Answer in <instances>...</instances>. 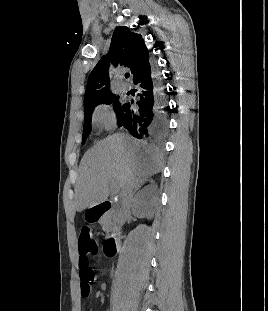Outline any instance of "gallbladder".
<instances>
[{
    "label": "gallbladder",
    "mask_w": 268,
    "mask_h": 311,
    "mask_svg": "<svg viewBox=\"0 0 268 311\" xmlns=\"http://www.w3.org/2000/svg\"><path fill=\"white\" fill-rule=\"evenodd\" d=\"M113 203L115 206H120L122 202L120 199H115Z\"/></svg>",
    "instance_id": "gallbladder-1"
}]
</instances>
